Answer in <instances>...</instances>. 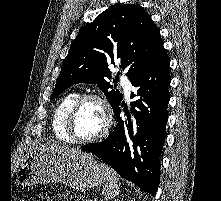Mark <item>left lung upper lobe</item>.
Returning a JSON list of instances; mask_svg holds the SVG:
<instances>
[{"label":"left lung upper lobe","mask_w":221,"mask_h":201,"mask_svg":"<svg viewBox=\"0 0 221 201\" xmlns=\"http://www.w3.org/2000/svg\"><path fill=\"white\" fill-rule=\"evenodd\" d=\"M164 54L158 28L139 5L110 8L80 29L50 99L73 84L91 83L99 86L114 109L123 95L107 81L111 79L109 64L119 63L132 82Z\"/></svg>","instance_id":"5c2ea615"}]
</instances>
